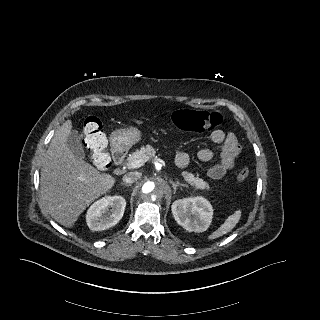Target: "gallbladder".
Returning a JSON list of instances; mask_svg holds the SVG:
<instances>
[{"instance_id":"1","label":"gallbladder","mask_w":320,"mask_h":320,"mask_svg":"<svg viewBox=\"0 0 320 320\" xmlns=\"http://www.w3.org/2000/svg\"><path fill=\"white\" fill-rule=\"evenodd\" d=\"M68 148L79 158L85 157V152L78 138V132L72 130L66 140Z\"/></svg>"}]
</instances>
